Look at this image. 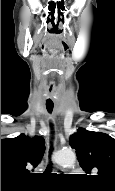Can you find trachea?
<instances>
[{
    "label": "trachea",
    "mask_w": 115,
    "mask_h": 191,
    "mask_svg": "<svg viewBox=\"0 0 115 191\" xmlns=\"http://www.w3.org/2000/svg\"><path fill=\"white\" fill-rule=\"evenodd\" d=\"M47 111H48L49 113H51V112L53 111V108H47ZM52 149H53V147L50 148V153L52 152ZM51 169H52V164H51V162H50V164L47 166L46 172L51 171Z\"/></svg>",
    "instance_id": "3493384b"
}]
</instances>
